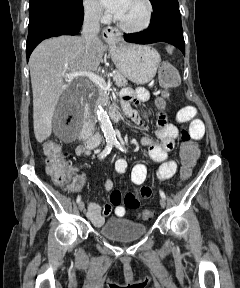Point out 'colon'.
I'll use <instances>...</instances> for the list:
<instances>
[{
    "instance_id": "obj_1",
    "label": "colon",
    "mask_w": 240,
    "mask_h": 288,
    "mask_svg": "<svg viewBox=\"0 0 240 288\" xmlns=\"http://www.w3.org/2000/svg\"><path fill=\"white\" fill-rule=\"evenodd\" d=\"M159 82L164 89V99L169 96V92L174 89L179 82V73L176 68L169 64L163 63L159 68ZM43 153L45 156L46 172L52 181L58 186H65L69 182L70 176L67 170L65 160L61 153L60 146L53 141H46L43 144ZM199 156V150L188 131L181 134L180 159L182 164L181 174L183 178L190 176L193 167ZM127 207H138V196L135 193H128L124 198ZM136 216L145 221H150L155 217L151 210H138Z\"/></svg>"
}]
</instances>
